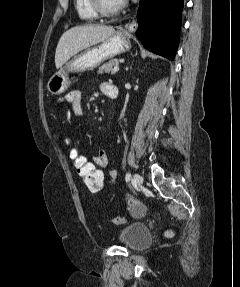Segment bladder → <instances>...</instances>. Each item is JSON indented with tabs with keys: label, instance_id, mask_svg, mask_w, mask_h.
<instances>
[{
	"label": "bladder",
	"instance_id": "bladder-1",
	"mask_svg": "<svg viewBox=\"0 0 240 287\" xmlns=\"http://www.w3.org/2000/svg\"><path fill=\"white\" fill-rule=\"evenodd\" d=\"M119 241L131 250H140L150 244L151 231L146 224L133 222L120 230Z\"/></svg>",
	"mask_w": 240,
	"mask_h": 287
}]
</instances>
